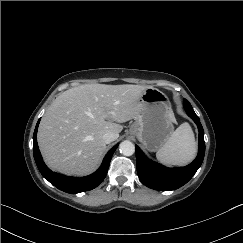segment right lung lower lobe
Masks as SVG:
<instances>
[{
  "label": "right lung lower lobe",
  "instance_id": "obj_1",
  "mask_svg": "<svg viewBox=\"0 0 243 243\" xmlns=\"http://www.w3.org/2000/svg\"><path fill=\"white\" fill-rule=\"evenodd\" d=\"M40 119L37 122L34 135H33V154L34 159L37 164L39 171L41 172L42 176L46 178L51 184H53L58 189L70 193L76 194L84 191H89L97 187L106 177L110 161L112 158L113 153L118 147V144L115 145L105 156L101 166L99 169L94 172L93 174L82 177V178H74L64 176L55 172H52L47 166L45 165L41 153L38 148L37 144V129L39 125Z\"/></svg>",
  "mask_w": 243,
  "mask_h": 243
}]
</instances>
